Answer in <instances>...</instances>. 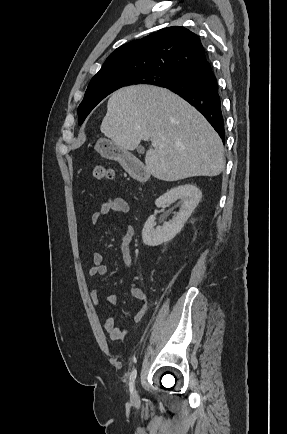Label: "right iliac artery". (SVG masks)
<instances>
[{"mask_svg": "<svg viewBox=\"0 0 287 434\" xmlns=\"http://www.w3.org/2000/svg\"><path fill=\"white\" fill-rule=\"evenodd\" d=\"M136 375H137V370L133 369V371L131 372V375H130V383H129V385H130V391H132L133 384H134L135 379H136Z\"/></svg>", "mask_w": 287, "mask_h": 434, "instance_id": "82829eb1", "label": "right iliac artery"}]
</instances>
